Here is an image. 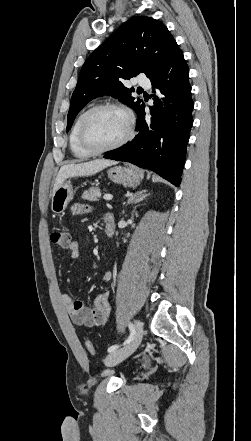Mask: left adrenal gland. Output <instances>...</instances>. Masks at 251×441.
<instances>
[{"instance_id": "a2214340", "label": "left adrenal gland", "mask_w": 251, "mask_h": 441, "mask_svg": "<svg viewBox=\"0 0 251 441\" xmlns=\"http://www.w3.org/2000/svg\"><path fill=\"white\" fill-rule=\"evenodd\" d=\"M146 190L137 191L135 194L131 195L127 201V205L129 204H136L140 201H142L148 194L146 193Z\"/></svg>"}]
</instances>
